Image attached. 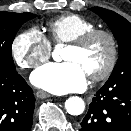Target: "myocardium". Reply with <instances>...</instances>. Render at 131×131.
Here are the masks:
<instances>
[{
    "label": "myocardium",
    "mask_w": 131,
    "mask_h": 131,
    "mask_svg": "<svg viewBox=\"0 0 131 131\" xmlns=\"http://www.w3.org/2000/svg\"><path fill=\"white\" fill-rule=\"evenodd\" d=\"M98 37H103L107 40L110 48V54L104 68L100 72L89 76L90 80L93 82H99L107 79L114 71L119 58V44L116 36L109 30L95 28L68 43V47L81 50Z\"/></svg>",
    "instance_id": "obj_1"
}]
</instances>
